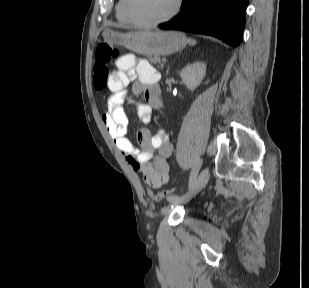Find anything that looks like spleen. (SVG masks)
Segmentation results:
<instances>
[{"label": "spleen", "mask_w": 309, "mask_h": 288, "mask_svg": "<svg viewBox=\"0 0 309 288\" xmlns=\"http://www.w3.org/2000/svg\"><path fill=\"white\" fill-rule=\"evenodd\" d=\"M188 42H189V44L192 45V46H194V45L197 43V41L194 40V39H188Z\"/></svg>", "instance_id": "3e777b00"}]
</instances>
